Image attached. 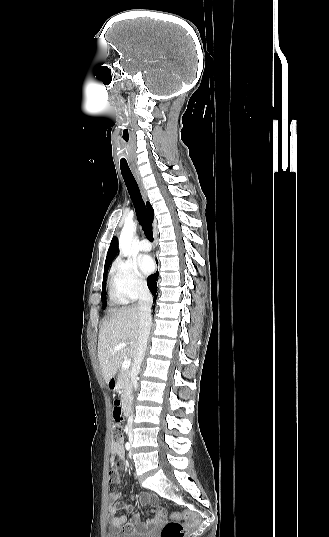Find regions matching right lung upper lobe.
I'll return each mask as SVG.
<instances>
[{
    "label": "right lung upper lobe",
    "mask_w": 329,
    "mask_h": 537,
    "mask_svg": "<svg viewBox=\"0 0 329 537\" xmlns=\"http://www.w3.org/2000/svg\"><path fill=\"white\" fill-rule=\"evenodd\" d=\"M147 208H148V212H149L150 217L153 218L154 211H153V208H152V206L150 205L149 202H147ZM116 243H117V238L114 237L112 239V241H111L110 247H109L108 252H107V257H106L104 269L109 268V266L112 263L113 259L117 255Z\"/></svg>",
    "instance_id": "obj_1"
}]
</instances>
